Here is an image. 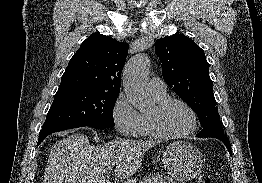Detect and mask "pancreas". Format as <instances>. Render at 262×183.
Returning <instances> with one entry per match:
<instances>
[{"label":"pancreas","instance_id":"obj_1","mask_svg":"<svg viewBox=\"0 0 262 183\" xmlns=\"http://www.w3.org/2000/svg\"><path fill=\"white\" fill-rule=\"evenodd\" d=\"M140 183H176L172 178L167 176L155 174L148 175Z\"/></svg>","mask_w":262,"mask_h":183}]
</instances>
